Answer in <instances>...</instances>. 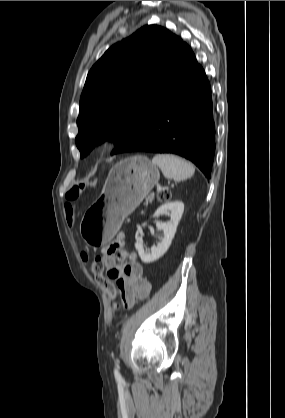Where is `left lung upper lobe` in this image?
Here are the masks:
<instances>
[{
    "label": "left lung upper lobe",
    "mask_w": 285,
    "mask_h": 418,
    "mask_svg": "<svg viewBox=\"0 0 285 418\" xmlns=\"http://www.w3.org/2000/svg\"><path fill=\"white\" fill-rule=\"evenodd\" d=\"M185 43L168 29L146 25L111 46L87 75L75 139L86 156L111 139L123 153L140 135L175 70Z\"/></svg>",
    "instance_id": "obj_1"
}]
</instances>
